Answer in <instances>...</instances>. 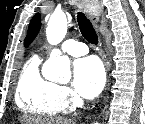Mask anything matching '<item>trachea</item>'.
Returning a JSON list of instances; mask_svg holds the SVG:
<instances>
[{"instance_id": "3493384b", "label": "trachea", "mask_w": 145, "mask_h": 124, "mask_svg": "<svg viewBox=\"0 0 145 124\" xmlns=\"http://www.w3.org/2000/svg\"><path fill=\"white\" fill-rule=\"evenodd\" d=\"M79 29L82 36L91 44L98 43V36L92 26L90 20L81 12L77 15Z\"/></svg>"}]
</instances>
